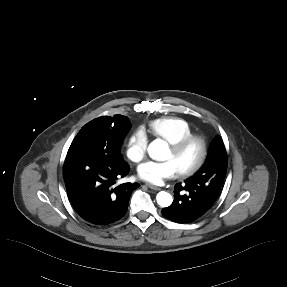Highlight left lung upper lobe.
Wrapping results in <instances>:
<instances>
[{"label":"left lung upper lobe","instance_id":"left-lung-upper-lobe-1","mask_svg":"<svg viewBox=\"0 0 287 287\" xmlns=\"http://www.w3.org/2000/svg\"><path fill=\"white\" fill-rule=\"evenodd\" d=\"M227 170V154L220 136H217L209 149L205 164L185 184L201 190L207 196H218Z\"/></svg>","mask_w":287,"mask_h":287}]
</instances>
